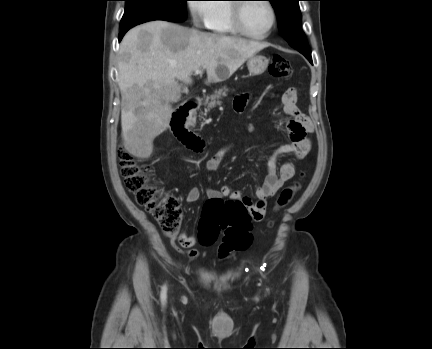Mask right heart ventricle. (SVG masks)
Returning <instances> with one entry per match:
<instances>
[{"mask_svg":"<svg viewBox=\"0 0 432 349\" xmlns=\"http://www.w3.org/2000/svg\"><path fill=\"white\" fill-rule=\"evenodd\" d=\"M225 1L216 0L211 5V9L206 21V27L217 35L230 36L237 32L231 22V5Z\"/></svg>","mask_w":432,"mask_h":349,"instance_id":"right-heart-ventricle-1","label":"right heart ventricle"}]
</instances>
